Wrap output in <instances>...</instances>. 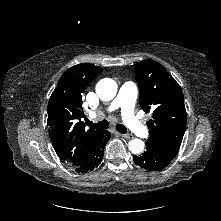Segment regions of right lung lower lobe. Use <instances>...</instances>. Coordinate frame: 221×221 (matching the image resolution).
Returning a JSON list of instances; mask_svg holds the SVG:
<instances>
[{"instance_id":"98d812e1","label":"right lung lower lobe","mask_w":221,"mask_h":221,"mask_svg":"<svg viewBox=\"0 0 221 221\" xmlns=\"http://www.w3.org/2000/svg\"><path fill=\"white\" fill-rule=\"evenodd\" d=\"M111 138V133L107 130L101 132L100 136L95 141L92 150L89 155L80 163L71 165L75 168L76 171L81 173H86L88 171H92L95 167H97L102 159L105 145L108 140Z\"/></svg>"}]
</instances>
